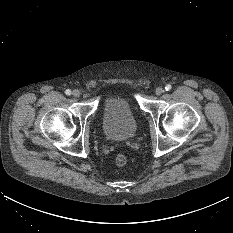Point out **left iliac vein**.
Here are the masks:
<instances>
[{"instance_id": "obj_1", "label": "left iliac vein", "mask_w": 233, "mask_h": 233, "mask_svg": "<svg viewBox=\"0 0 233 233\" xmlns=\"http://www.w3.org/2000/svg\"><path fill=\"white\" fill-rule=\"evenodd\" d=\"M164 92V89L162 87H157L155 90L156 95H161Z\"/></svg>"}]
</instances>
